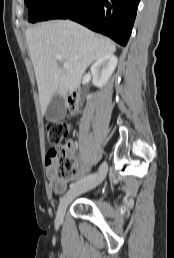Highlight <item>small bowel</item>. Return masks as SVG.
Wrapping results in <instances>:
<instances>
[{"label":"small bowel","mask_w":174,"mask_h":258,"mask_svg":"<svg viewBox=\"0 0 174 258\" xmlns=\"http://www.w3.org/2000/svg\"><path fill=\"white\" fill-rule=\"evenodd\" d=\"M83 162L84 159L82 157H79L77 160L76 174L73 178L79 177L84 174L85 169ZM48 180L50 187L55 193H62L65 190L68 181V179H60L56 176L53 163H50L48 166Z\"/></svg>","instance_id":"small-bowel-1"}]
</instances>
